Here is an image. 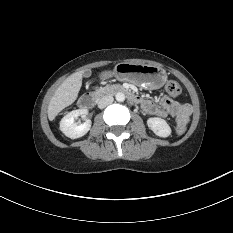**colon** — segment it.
<instances>
[{"instance_id":"obj_1","label":"colon","mask_w":233,"mask_h":233,"mask_svg":"<svg viewBox=\"0 0 233 233\" xmlns=\"http://www.w3.org/2000/svg\"><path fill=\"white\" fill-rule=\"evenodd\" d=\"M166 92L172 98L180 97L183 93L182 86L175 80H169L166 84ZM186 127H177L178 134L184 133Z\"/></svg>"}]
</instances>
